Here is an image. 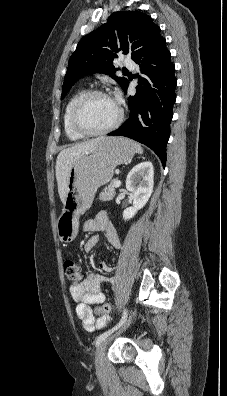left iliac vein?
<instances>
[{"instance_id":"1","label":"left iliac vein","mask_w":227,"mask_h":396,"mask_svg":"<svg viewBox=\"0 0 227 396\" xmlns=\"http://www.w3.org/2000/svg\"><path fill=\"white\" fill-rule=\"evenodd\" d=\"M132 319V316L130 315L124 325V329L128 327ZM112 339V337L104 339L98 346L97 351H96V369L98 373H103L106 368V363H105V350L107 347V344L109 341Z\"/></svg>"}]
</instances>
